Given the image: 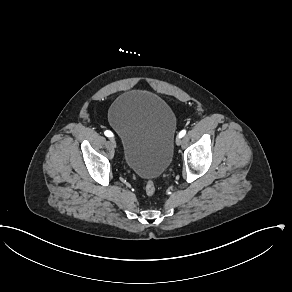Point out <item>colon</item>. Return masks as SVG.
<instances>
[{"label": "colon", "mask_w": 292, "mask_h": 292, "mask_svg": "<svg viewBox=\"0 0 292 292\" xmlns=\"http://www.w3.org/2000/svg\"><path fill=\"white\" fill-rule=\"evenodd\" d=\"M144 193H145L146 197H148V198H153L155 196L156 185L153 181L148 180L146 182L145 187H144Z\"/></svg>", "instance_id": "5ec220e1"}]
</instances>
